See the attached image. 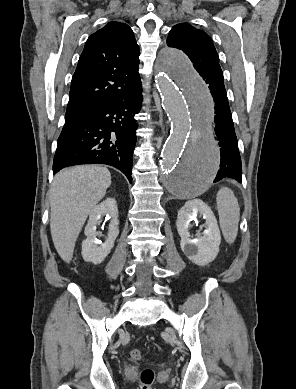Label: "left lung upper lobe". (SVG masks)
<instances>
[{
  "mask_svg": "<svg viewBox=\"0 0 296 389\" xmlns=\"http://www.w3.org/2000/svg\"><path fill=\"white\" fill-rule=\"evenodd\" d=\"M167 45L182 50L202 77L222 74L219 57L211 38L189 23L175 25L169 32Z\"/></svg>",
  "mask_w": 296,
  "mask_h": 389,
  "instance_id": "obj_1",
  "label": "left lung upper lobe"
}]
</instances>
